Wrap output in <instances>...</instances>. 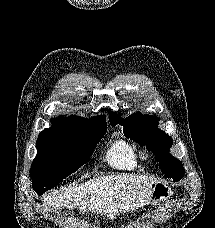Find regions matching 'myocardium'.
<instances>
[{
  "instance_id": "f54148a6",
  "label": "myocardium",
  "mask_w": 215,
  "mask_h": 228,
  "mask_svg": "<svg viewBox=\"0 0 215 228\" xmlns=\"http://www.w3.org/2000/svg\"><path fill=\"white\" fill-rule=\"evenodd\" d=\"M138 157L142 161H148L150 159V154L146 150H144L139 153Z\"/></svg>"
}]
</instances>
